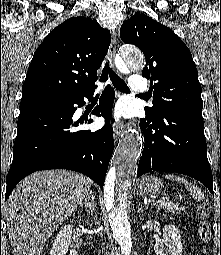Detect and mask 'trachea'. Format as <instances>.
<instances>
[{
    "instance_id": "3493384b",
    "label": "trachea",
    "mask_w": 221,
    "mask_h": 255,
    "mask_svg": "<svg viewBox=\"0 0 221 255\" xmlns=\"http://www.w3.org/2000/svg\"><path fill=\"white\" fill-rule=\"evenodd\" d=\"M108 76L110 77L113 86L122 91V92H130L127 84L124 82V80H122L113 70L112 68H110L109 63L106 62L105 63V67L102 71V75H101V81H107Z\"/></svg>"
}]
</instances>
